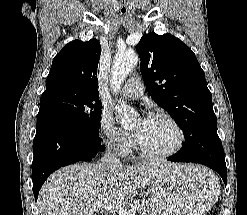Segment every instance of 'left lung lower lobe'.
Returning a JSON list of instances; mask_svg holds the SVG:
<instances>
[{"label": "left lung lower lobe", "mask_w": 247, "mask_h": 215, "mask_svg": "<svg viewBox=\"0 0 247 215\" xmlns=\"http://www.w3.org/2000/svg\"><path fill=\"white\" fill-rule=\"evenodd\" d=\"M191 148L182 147L168 160L173 162H192L203 164L217 171L224 183H227L225 155L218 134L196 137Z\"/></svg>", "instance_id": "left-lung-lower-lobe-1"}]
</instances>
